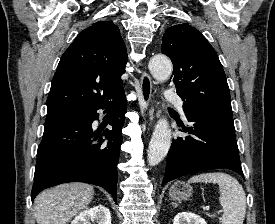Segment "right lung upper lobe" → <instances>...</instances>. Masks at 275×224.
<instances>
[{"label": "right lung upper lobe", "instance_id": "1", "mask_svg": "<svg viewBox=\"0 0 275 224\" xmlns=\"http://www.w3.org/2000/svg\"><path fill=\"white\" fill-rule=\"evenodd\" d=\"M126 47L119 28L98 21L83 30L62 55L47 98V111L86 109L123 91Z\"/></svg>", "mask_w": 275, "mask_h": 224}]
</instances>
